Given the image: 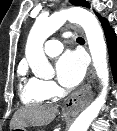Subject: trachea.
I'll return each mask as SVG.
<instances>
[{"mask_svg":"<svg viewBox=\"0 0 117 131\" xmlns=\"http://www.w3.org/2000/svg\"><path fill=\"white\" fill-rule=\"evenodd\" d=\"M77 42H78V43H84L85 40H84L82 37H78V38H77Z\"/></svg>","mask_w":117,"mask_h":131,"instance_id":"trachea-1","label":"trachea"}]
</instances>
